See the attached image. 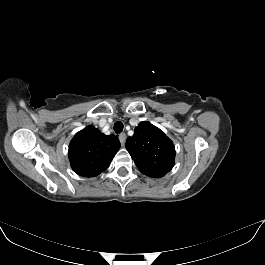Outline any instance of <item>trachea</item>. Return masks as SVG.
Here are the masks:
<instances>
[{"label":"trachea","mask_w":265,"mask_h":265,"mask_svg":"<svg viewBox=\"0 0 265 265\" xmlns=\"http://www.w3.org/2000/svg\"><path fill=\"white\" fill-rule=\"evenodd\" d=\"M123 123L122 122H120V121H117L115 124H114V131L116 132V133H121L122 132V130H123Z\"/></svg>","instance_id":"obj_1"}]
</instances>
